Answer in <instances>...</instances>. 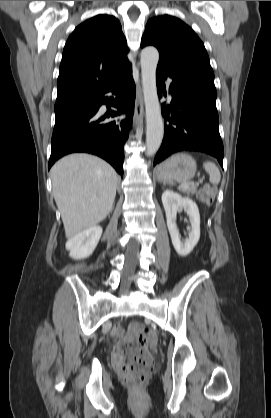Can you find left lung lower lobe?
Returning a JSON list of instances; mask_svg holds the SVG:
<instances>
[{
    "label": "left lung lower lobe",
    "instance_id": "left-lung-lower-lobe-1",
    "mask_svg": "<svg viewBox=\"0 0 271 418\" xmlns=\"http://www.w3.org/2000/svg\"><path fill=\"white\" fill-rule=\"evenodd\" d=\"M158 95H166L163 79L171 77L157 68ZM171 106L164 109V139L154 159V165L171 154L189 150L200 151L216 157L223 167L224 149L219 134L216 109L217 92L200 84L171 77ZM171 112V117L169 113Z\"/></svg>",
    "mask_w": 271,
    "mask_h": 418
}]
</instances>
